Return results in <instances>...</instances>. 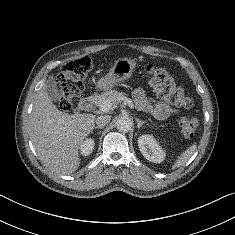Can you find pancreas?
<instances>
[{
	"label": "pancreas",
	"instance_id": "cf45deb5",
	"mask_svg": "<svg viewBox=\"0 0 235 235\" xmlns=\"http://www.w3.org/2000/svg\"><path fill=\"white\" fill-rule=\"evenodd\" d=\"M121 97H126L123 93H120L116 90H107L95 99V105L100 106L104 101H110L112 104L121 100Z\"/></svg>",
	"mask_w": 235,
	"mask_h": 235
}]
</instances>
